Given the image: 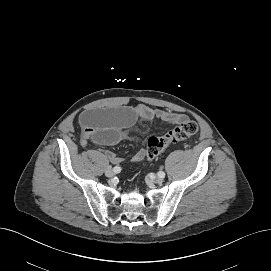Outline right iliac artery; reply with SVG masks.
I'll return each instance as SVG.
<instances>
[{"mask_svg": "<svg viewBox=\"0 0 271 271\" xmlns=\"http://www.w3.org/2000/svg\"><path fill=\"white\" fill-rule=\"evenodd\" d=\"M121 167H119V166H115L114 168H113V171H114V173H120L121 172Z\"/></svg>", "mask_w": 271, "mask_h": 271, "instance_id": "1", "label": "right iliac artery"}]
</instances>
